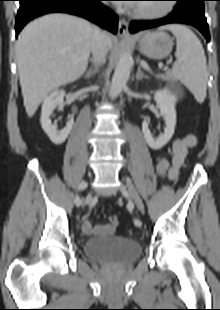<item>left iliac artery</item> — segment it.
<instances>
[{
  "mask_svg": "<svg viewBox=\"0 0 220 310\" xmlns=\"http://www.w3.org/2000/svg\"><path fill=\"white\" fill-rule=\"evenodd\" d=\"M127 209H128V211L130 213H133V211H134V204L132 202H128L127 203ZM133 222H134V225L137 226V227H140L142 225L141 220L138 219V218H134Z\"/></svg>",
  "mask_w": 220,
  "mask_h": 310,
  "instance_id": "44dca946",
  "label": "left iliac artery"
}]
</instances>
